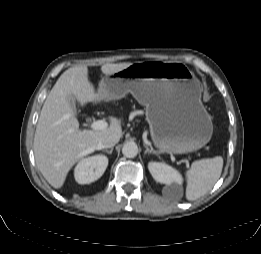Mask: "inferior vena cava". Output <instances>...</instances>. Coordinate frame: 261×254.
<instances>
[{"label":"inferior vena cava","instance_id":"1","mask_svg":"<svg viewBox=\"0 0 261 254\" xmlns=\"http://www.w3.org/2000/svg\"><path fill=\"white\" fill-rule=\"evenodd\" d=\"M120 137L118 135L112 134V135H107L101 139L99 142V147L100 148H111L113 147L116 143L119 142Z\"/></svg>","mask_w":261,"mask_h":254}]
</instances>
